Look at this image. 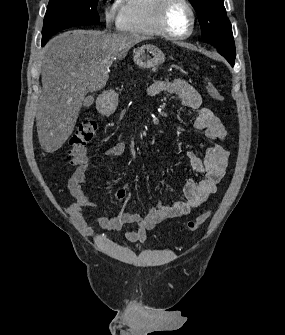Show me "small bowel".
Here are the masks:
<instances>
[{
  "instance_id": "c3829d8e",
  "label": "small bowel",
  "mask_w": 285,
  "mask_h": 335,
  "mask_svg": "<svg viewBox=\"0 0 285 335\" xmlns=\"http://www.w3.org/2000/svg\"><path fill=\"white\" fill-rule=\"evenodd\" d=\"M148 92L151 96L160 93L175 95L184 106L196 110L197 115L193 126L204 133L210 145L203 159H200L193 152L187 154L194 172L201 178L187 181L183 200L168 205L158 204L142 216L125 211L128 188L123 186L116 195L121 207L120 212L116 215L95 217L96 224L101 229L108 231H117L126 224H134L135 229L127 231L125 234L127 240L132 243L145 242L147 232L157 224L170 218L188 215L204 204L216 192L219 182L225 176L229 157V152L220 144L227 134L223 123L211 109L202 106L200 93L190 83L183 79L156 81L149 87ZM125 150V141L121 139L109 146L104 151V155L109 158H118L125 153ZM88 172V165H80L69 180V190L75 198V202L68 208V213L83 234L93 236L94 231L87 224V211L97 208V204L83 190Z\"/></svg>"
}]
</instances>
